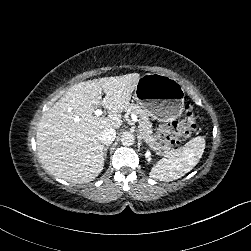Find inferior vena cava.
<instances>
[{"instance_id": "1", "label": "inferior vena cava", "mask_w": 251, "mask_h": 251, "mask_svg": "<svg viewBox=\"0 0 251 251\" xmlns=\"http://www.w3.org/2000/svg\"><path fill=\"white\" fill-rule=\"evenodd\" d=\"M116 137V131L113 128H109V129H104L100 135H99V140L101 142V144L104 145H110Z\"/></svg>"}]
</instances>
